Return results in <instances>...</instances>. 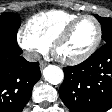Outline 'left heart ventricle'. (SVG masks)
Returning <instances> with one entry per match:
<instances>
[{
  "instance_id": "b2bd125f",
  "label": "left heart ventricle",
  "mask_w": 112,
  "mask_h": 112,
  "mask_svg": "<svg viewBox=\"0 0 112 112\" xmlns=\"http://www.w3.org/2000/svg\"><path fill=\"white\" fill-rule=\"evenodd\" d=\"M96 25L91 19L81 20L57 50L60 57L70 59L85 53L96 37Z\"/></svg>"
}]
</instances>
